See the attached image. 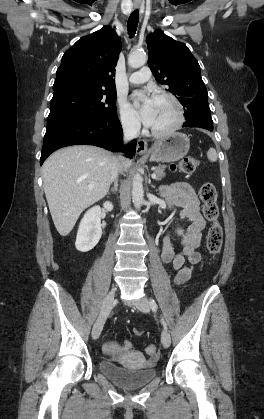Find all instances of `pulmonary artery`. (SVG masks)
Masks as SVG:
<instances>
[{
    "mask_svg": "<svg viewBox=\"0 0 264 419\" xmlns=\"http://www.w3.org/2000/svg\"><path fill=\"white\" fill-rule=\"evenodd\" d=\"M150 78V69L148 67H143L139 71L133 73L129 77L131 84H141L148 81Z\"/></svg>",
    "mask_w": 264,
    "mask_h": 419,
    "instance_id": "pulmonary-artery-1",
    "label": "pulmonary artery"
}]
</instances>
